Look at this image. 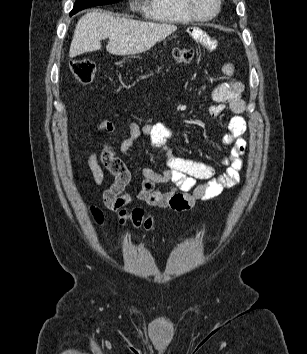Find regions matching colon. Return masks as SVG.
Segmentation results:
<instances>
[{
	"instance_id": "obj_1",
	"label": "colon",
	"mask_w": 307,
	"mask_h": 354,
	"mask_svg": "<svg viewBox=\"0 0 307 354\" xmlns=\"http://www.w3.org/2000/svg\"><path fill=\"white\" fill-rule=\"evenodd\" d=\"M172 55L177 62L190 63L194 58V51L190 48H178L173 51ZM69 68L75 79L82 84H91L95 79L96 67L94 62L88 58L72 60ZM93 214L97 221L100 222L102 219L101 213L97 209H93ZM119 215L122 223L131 221L136 227H142L148 231L154 229L155 222L153 217L146 214L141 208H135L131 212L120 209Z\"/></svg>"
}]
</instances>
